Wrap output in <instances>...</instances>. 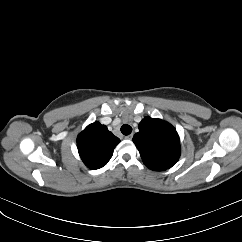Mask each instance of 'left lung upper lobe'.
Listing matches in <instances>:
<instances>
[{"mask_svg":"<svg viewBox=\"0 0 242 242\" xmlns=\"http://www.w3.org/2000/svg\"><path fill=\"white\" fill-rule=\"evenodd\" d=\"M133 137L144 164L152 170L164 171L179 159L181 149L176 129L161 119L145 117Z\"/></svg>","mask_w":242,"mask_h":242,"instance_id":"5c2ea615","label":"left lung upper lobe"}]
</instances>
